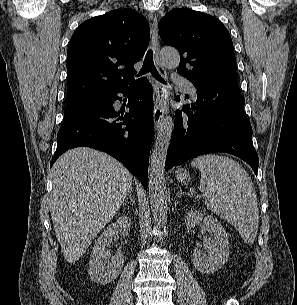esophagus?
Here are the masks:
<instances>
[{
  "label": "esophagus",
  "instance_id": "1",
  "mask_svg": "<svg viewBox=\"0 0 297 305\" xmlns=\"http://www.w3.org/2000/svg\"><path fill=\"white\" fill-rule=\"evenodd\" d=\"M152 19L151 25V36H152V46L154 49V61L156 68L160 75L167 79L168 75L163 67L160 58H159V34H158V18L156 14L150 15ZM169 90L162 84L155 82V100H154V111H153V118H154V126L156 130H159L161 124L164 120L165 116V107L166 103L169 100Z\"/></svg>",
  "mask_w": 297,
  "mask_h": 305
}]
</instances>
